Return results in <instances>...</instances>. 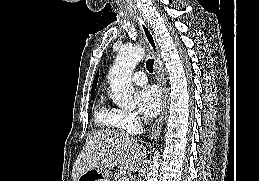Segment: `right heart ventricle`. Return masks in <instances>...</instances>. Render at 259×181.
I'll return each mask as SVG.
<instances>
[{
    "mask_svg": "<svg viewBox=\"0 0 259 181\" xmlns=\"http://www.w3.org/2000/svg\"><path fill=\"white\" fill-rule=\"evenodd\" d=\"M94 118L99 127L111 130H123L118 109L110 107L103 100L96 105Z\"/></svg>",
    "mask_w": 259,
    "mask_h": 181,
    "instance_id": "obj_1",
    "label": "right heart ventricle"
}]
</instances>
